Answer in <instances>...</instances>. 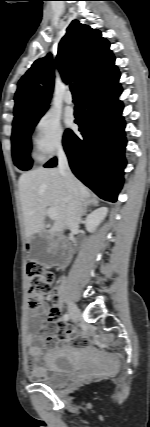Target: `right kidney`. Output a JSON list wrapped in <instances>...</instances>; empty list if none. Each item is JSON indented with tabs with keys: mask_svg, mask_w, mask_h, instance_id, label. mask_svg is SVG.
I'll list each match as a JSON object with an SVG mask.
<instances>
[{
	"mask_svg": "<svg viewBox=\"0 0 150 427\" xmlns=\"http://www.w3.org/2000/svg\"><path fill=\"white\" fill-rule=\"evenodd\" d=\"M107 213L108 208L106 207H101L91 212L85 220L86 229L89 232H93L96 227L104 220Z\"/></svg>",
	"mask_w": 150,
	"mask_h": 427,
	"instance_id": "ca27d5eb",
	"label": "right kidney"
}]
</instances>
